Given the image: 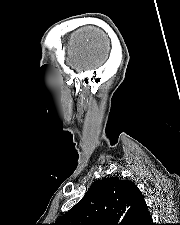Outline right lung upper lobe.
I'll return each mask as SVG.
<instances>
[{
	"instance_id": "1",
	"label": "right lung upper lobe",
	"mask_w": 180,
	"mask_h": 225,
	"mask_svg": "<svg viewBox=\"0 0 180 225\" xmlns=\"http://www.w3.org/2000/svg\"><path fill=\"white\" fill-rule=\"evenodd\" d=\"M144 198L130 180L95 181L84 197L53 225H149Z\"/></svg>"
}]
</instances>
